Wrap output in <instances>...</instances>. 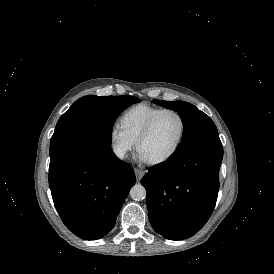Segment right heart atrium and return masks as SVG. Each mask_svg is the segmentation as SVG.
<instances>
[{
	"label": "right heart atrium",
	"mask_w": 274,
	"mask_h": 274,
	"mask_svg": "<svg viewBox=\"0 0 274 274\" xmlns=\"http://www.w3.org/2000/svg\"><path fill=\"white\" fill-rule=\"evenodd\" d=\"M109 146L115 156L121 160L127 158L135 147V140L117 124H112L108 131Z\"/></svg>",
	"instance_id": "1"
}]
</instances>
